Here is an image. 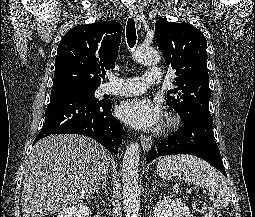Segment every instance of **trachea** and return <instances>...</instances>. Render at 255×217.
Instances as JSON below:
<instances>
[{
	"label": "trachea",
	"mask_w": 255,
	"mask_h": 217,
	"mask_svg": "<svg viewBox=\"0 0 255 217\" xmlns=\"http://www.w3.org/2000/svg\"><path fill=\"white\" fill-rule=\"evenodd\" d=\"M126 36L128 45L132 48L136 43V28L133 18H129L126 26Z\"/></svg>",
	"instance_id": "3493384b"
}]
</instances>
